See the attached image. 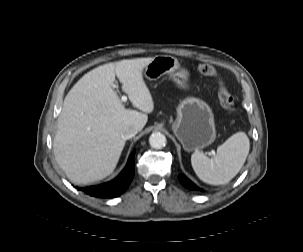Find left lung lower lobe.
<instances>
[{"label":"left lung lower lobe","instance_id":"left-lung-lower-lobe-1","mask_svg":"<svg viewBox=\"0 0 303 252\" xmlns=\"http://www.w3.org/2000/svg\"><path fill=\"white\" fill-rule=\"evenodd\" d=\"M179 181L181 182V184L183 186H185L186 188H189L191 190H202L200 188H198L193 182H191L186 176H184L183 174H180L178 176Z\"/></svg>","mask_w":303,"mask_h":252}]
</instances>
